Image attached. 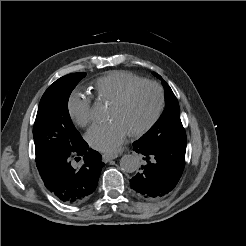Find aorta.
I'll use <instances>...</instances> for the list:
<instances>
[{"label":"aorta","mask_w":246,"mask_h":246,"mask_svg":"<svg viewBox=\"0 0 246 246\" xmlns=\"http://www.w3.org/2000/svg\"><path fill=\"white\" fill-rule=\"evenodd\" d=\"M94 114L98 118L102 116L98 108L94 109ZM139 164H140L139 159L132 154L124 155L120 160L121 169L127 173L135 172L139 168Z\"/></svg>","instance_id":"1"}]
</instances>
